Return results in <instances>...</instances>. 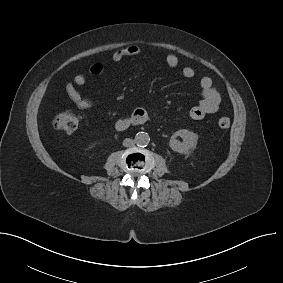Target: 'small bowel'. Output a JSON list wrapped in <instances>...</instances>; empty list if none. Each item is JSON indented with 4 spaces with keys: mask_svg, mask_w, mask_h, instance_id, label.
I'll return each mask as SVG.
<instances>
[{
    "mask_svg": "<svg viewBox=\"0 0 283 283\" xmlns=\"http://www.w3.org/2000/svg\"><path fill=\"white\" fill-rule=\"evenodd\" d=\"M140 53L141 48L138 45H129L115 51L111 56V60L114 63H118L126 57L135 56ZM164 61L166 65L171 68H175L179 64V59L174 54H167ZM89 71L94 76L101 75L104 71V65L101 62H95L90 66ZM182 75L187 79H192L195 76V70L189 66L184 67L182 69ZM86 81L87 79L85 75L76 74L73 77V80L66 84V92L69 98L82 110H87L93 107V101L82 97L77 90V87L85 85ZM199 86L201 88L202 99L190 110V117L194 120H201L209 114L216 113L221 104V96L215 88L211 78L206 76L202 77L199 80ZM131 117L141 124L147 120L148 111L143 107H139L133 111Z\"/></svg>",
    "mask_w": 283,
    "mask_h": 283,
    "instance_id": "c3829d8e",
    "label": "small bowel"
}]
</instances>
